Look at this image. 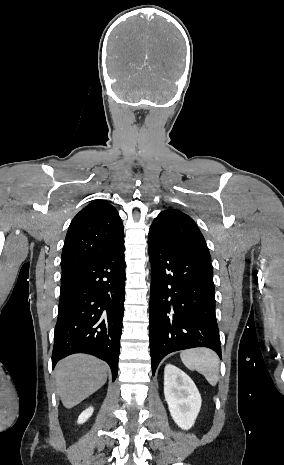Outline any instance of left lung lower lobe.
<instances>
[{
    "mask_svg": "<svg viewBox=\"0 0 284 465\" xmlns=\"http://www.w3.org/2000/svg\"><path fill=\"white\" fill-rule=\"evenodd\" d=\"M149 337L153 375L169 353L207 347L221 358L211 262L148 236Z\"/></svg>",
    "mask_w": 284,
    "mask_h": 465,
    "instance_id": "0a47b994",
    "label": "left lung lower lobe"
}]
</instances>
